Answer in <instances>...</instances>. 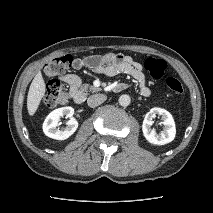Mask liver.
<instances>
[{
    "instance_id": "liver-1",
    "label": "liver",
    "mask_w": 213,
    "mask_h": 213,
    "mask_svg": "<svg viewBox=\"0 0 213 213\" xmlns=\"http://www.w3.org/2000/svg\"><path fill=\"white\" fill-rule=\"evenodd\" d=\"M44 94H45V82L41 72L39 71L35 75L28 91L27 109L30 116H33L35 114Z\"/></svg>"
}]
</instances>
